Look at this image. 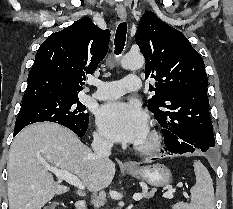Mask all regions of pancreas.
I'll use <instances>...</instances> for the list:
<instances>
[{
	"label": "pancreas",
	"instance_id": "obj_1",
	"mask_svg": "<svg viewBox=\"0 0 233 209\" xmlns=\"http://www.w3.org/2000/svg\"><path fill=\"white\" fill-rule=\"evenodd\" d=\"M152 195H153L152 193L146 194L145 198H150V197H152Z\"/></svg>",
	"mask_w": 233,
	"mask_h": 209
}]
</instances>
